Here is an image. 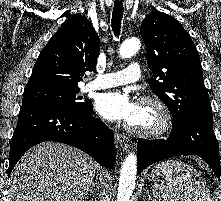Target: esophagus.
<instances>
[{"label": "esophagus", "mask_w": 221, "mask_h": 201, "mask_svg": "<svg viewBox=\"0 0 221 201\" xmlns=\"http://www.w3.org/2000/svg\"><path fill=\"white\" fill-rule=\"evenodd\" d=\"M115 139L116 142L119 144L121 150H123L124 152H128L130 150L131 141L127 136L115 132Z\"/></svg>", "instance_id": "1"}]
</instances>
